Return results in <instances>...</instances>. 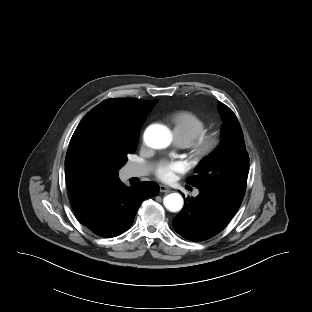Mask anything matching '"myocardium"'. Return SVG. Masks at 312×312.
Masks as SVG:
<instances>
[{
	"label": "myocardium",
	"mask_w": 312,
	"mask_h": 312,
	"mask_svg": "<svg viewBox=\"0 0 312 312\" xmlns=\"http://www.w3.org/2000/svg\"><path fill=\"white\" fill-rule=\"evenodd\" d=\"M224 143V135L220 130L204 133L191 144L193 155L198 160L210 158L217 154Z\"/></svg>",
	"instance_id": "f54148a6"
}]
</instances>
